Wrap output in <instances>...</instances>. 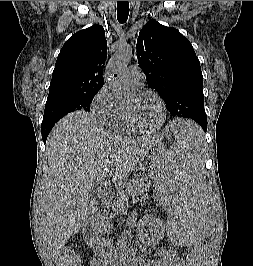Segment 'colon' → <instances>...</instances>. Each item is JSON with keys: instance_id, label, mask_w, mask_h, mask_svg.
<instances>
[{"instance_id": "obj_1", "label": "colon", "mask_w": 253, "mask_h": 266, "mask_svg": "<svg viewBox=\"0 0 253 266\" xmlns=\"http://www.w3.org/2000/svg\"><path fill=\"white\" fill-rule=\"evenodd\" d=\"M207 248V243L203 242L202 248H192L187 255L184 262V266H196V264L201 260ZM60 266H78L79 256L74 249L65 250L59 258Z\"/></svg>"}]
</instances>
